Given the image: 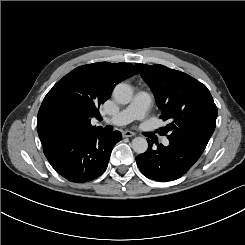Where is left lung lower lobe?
<instances>
[{"label": "left lung lower lobe", "instance_id": "1", "mask_svg": "<svg viewBox=\"0 0 245 245\" xmlns=\"http://www.w3.org/2000/svg\"><path fill=\"white\" fill-rule=\"evenodd\" d=\"M148 150L136 157L137 166L147 178L167 182L182 177L197 162L204 149L169 140V146L148 140Z\"/></svg>", "mask_w": 245, "mask_h": 245}]
</instances>
